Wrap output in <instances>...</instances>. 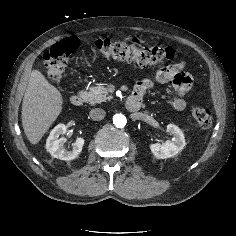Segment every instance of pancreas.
I'll return each instance as SVG.
<instances>
[{
  "mask_svg": "<svg viewBox=\"0 0 236 236\" xmlns=\"http://www.w3.org/2000/svg\"><path fill=\"white\" fill-rule=\"evenodd\" d=\"M108 94L109 92L104 84L97 83L95 86L90 87L86 95V101L91 105H95L106 100H111L112 96Z\"/></svg>",
  "mask_w": 236,
  "mask_h": 236,
  "instance_id": "obj_1",
  "label": "pancreas"
}]
</instances>
